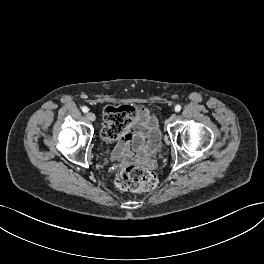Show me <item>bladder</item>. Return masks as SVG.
<instances>
[{
  "instance_id": "1",
  "label": "bladder",
  "mask_w": 264,
  "mask_h": 264,
  "mask_svg": "<svg viewBox=\"0 0 264 264\" xmlns=\"http://www.w3.org/2000/svg\"><path fill=\"white\" fill-rule=\"evenodd\" d=\"M162 147H163V144H162L161 135H160V137L158 138V141H157L156 146L154 147L152 153H153V154H158V153H160L161 150H162Z\"/></svg>"
}]
</instances>
